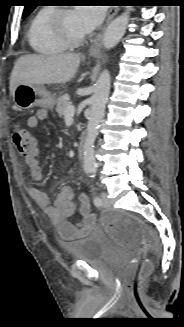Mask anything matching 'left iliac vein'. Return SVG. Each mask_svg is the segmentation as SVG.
I'll list each match as a JSON object with an SVG mask.
<instances>
[{
  "instance_id": "obj_1",
  "label": "left iliac vein",
  "mask_w": 184,
  "mask_h": 327,
  "mask_svg": "<svg viewBox=\"0 0 184 327\" xmlns=\"http://www.w3.org/2000/svg\"><path fill=\"white\" fill-rule=\"evenodd\" d=\"M101 200H102V205L105 207L110 206V201L108 199V196L105 192L101 193Z\"/></svg>"
}]
</instances>
